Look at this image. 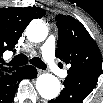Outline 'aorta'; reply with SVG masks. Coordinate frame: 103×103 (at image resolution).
Returning a JSON list of instances; mask_svg holds the SVG:
<instances>
[{
  "label": "aorta",
  "mask_w": 103,
  "mask_h": 103,
  "mask_svg": "<svg viewBox=\"0 0 103 103\" xmlns=\"http://www.w3.org/2000/svg\"><path fill=\"white\" fill-rule=\"evenodd\" d=\"M47 35L48 28L40 20H33L26 28V36L31 42H42ZM36 89L42 98L51 100L60 93V81L52 74H42L36 80Z\"/></svg>",
  "instance_id": "obj_1"
}]
</instances>
